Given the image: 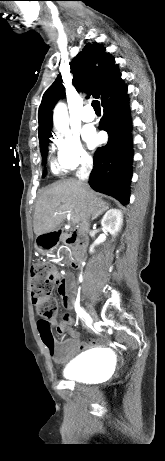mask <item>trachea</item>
<instances>
[{
  "label": "trachea",
  "mask_w": 165,
  "mask_h": 461,
  "mask_svg": "<svg viewBox=\"0 0 165 461\" xmlns=\"http://www.w3.org/2000/svg\"><path fill=\"white\" fill-rule=\"evenodd\" d=\"M92 107L94 108L95 112H100L101 111L100 103H99L98 100H95V101L92 102Z\"/></svg>",
  "instance_id": "3493384b"
}]
</instances>
